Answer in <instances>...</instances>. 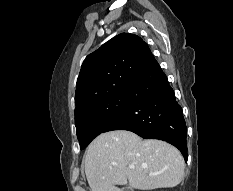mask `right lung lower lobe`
<instances>
[{
  "instance_id": "1",
  "label": "right lung lower lobe",
  "mask_w": 233,
  "mask_h": 191,
  "mask_svg": "<svg viewBox=\"0 0 233 191\" xmlns=\"http://www.w3.org/2000/svg\"><path fill=\"white\" fill-rule=\"evenodd\" d=\"M127 107L104 129L128 130L145 139L164 140L188 159L186 123L181 106L154 56L128 91Z\"/></svg>"
}]
</instances>
